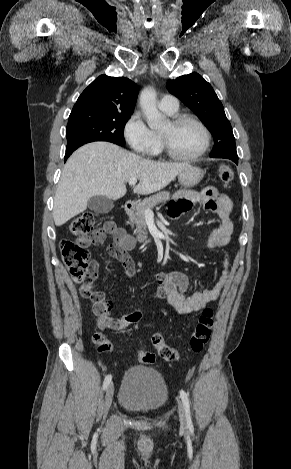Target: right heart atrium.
<instances>
[{
  "instance_id": "right-heart-atrium-1",
  "label": "right heart atrium",
  "mask_w": 291,
  "mask_h": 469,
  "mask_svg": "<svg viewBox=\"0 0 291 469\" xmlns=\"http://www.w3.org/2000/svg\"><path fill=\"white\" fill-rule=\"evenodd\" d=\"M123 137L128 146L139 155H149L156 146V135L147 126L140 113H133L123 127Z\"/></svg>"
}]
</instances>
